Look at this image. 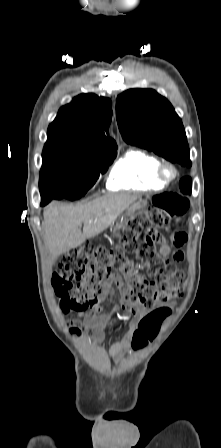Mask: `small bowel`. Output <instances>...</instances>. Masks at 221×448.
Returning <instances> with one entry per match:
<instances>
[{
	"instance_id": "c3829d8e",
	"label": "small bowel",
	"mask_w": 221,
	"mask_h": 448,
	"mask_svg": "<svg viewBox=\"0 0 221 448\" xmlns=\"http://www.w3.org/2000/svg\"><path fill=\"white\" fill-rule=\"evenodd\" d=\"M187 240L188 234L185 231H177L169 237L161 239L159 251L164 256L172 255V258L179 262L183 259L184 254L182 247L186 244ZM172 245L176 248L173 252L171 251ZM115 290L118 292L120 304L114 306L110 310H105V304L110 300ZM120 309H133L135 318L128 322L127 330L124 335L110 347L109 354L116 362L121 361L131 347L136 350L143 347L147 343L148 338H145L139 345H134L133 335L138 329L139 322L149 316L152 311L144 309L139 305H132L127 297L126 289L123 287L121 282L118 281L115 288L112 287V285H108L106 290L99 296L97 303L91 307L88 312L78 314V318L83 319L86 326L92 331L93 342L100 343L104 338L105 327L111 323L113 317ZM166 317H164L161 322Z\"/></svg>"
}]
</instances>
